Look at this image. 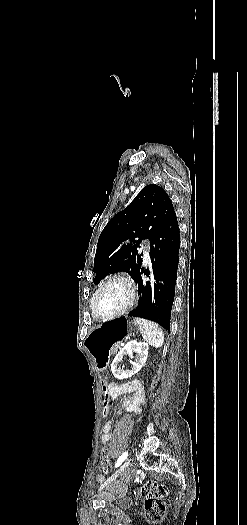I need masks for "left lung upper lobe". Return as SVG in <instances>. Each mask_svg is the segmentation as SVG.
<instances>
[{"label": "left lung upper lobe", "instance_id": "obj_1", "mask_svg": "<svg viewBox=\"0 0 247 525\" xmlns=\"http://www.w3.org/2000/svg\"><path fill=\"white\" fill-rule=\"evenodd\" d=\"M174 213L173 204L163 188L155 184L144 187L101 232L94 259V284L118 271L127 272L135 279L142 268L137 247L143 239L150 241Z\"/></svg>", "mask_w": 247, "mask_h": 525}]
</instances>
